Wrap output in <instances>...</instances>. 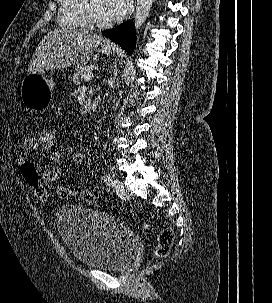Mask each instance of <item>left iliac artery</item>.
Masks as SVG:
<instances>
[{
	"instance_id": "obj_1",
	"label": "left iliac artery",
	"mask_w": 272,
	"mask_h": 303,
	"mask_svg": "<svg viewBox=\"0 0 272 303\" xmlns=\"http://www.w3.org/2000/svg\"><path fill=\"white\" fill-rule=\"evenodd\" d=\"M105 182L109 186L112 184V177H111V175L109 173L105 174Z\"/></svg>"
}]
</instances>
